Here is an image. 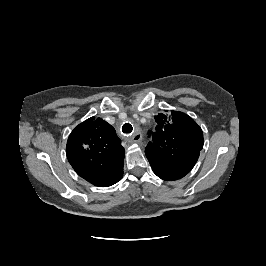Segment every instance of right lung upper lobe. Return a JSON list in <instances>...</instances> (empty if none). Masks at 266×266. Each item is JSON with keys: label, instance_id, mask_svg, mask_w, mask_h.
<instances>
[{"label": "right lung upper lobe", "instance_id": "1", "mask_svg": "<svg viewBox=\"0 0 266 266\" xmlns=\"http://www.w3.org/2000/svg\"><path fill=\"white\" fill-rule=\"evenodd\" d=\"M66 155L76 173L95 186H111L123 176L121 140L101 118L91 117L73 129Z\"/></svg>", "mask_w": 266, "mask_h": 266}]
</instances>
